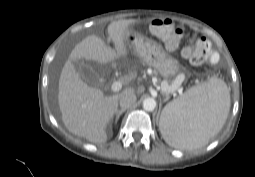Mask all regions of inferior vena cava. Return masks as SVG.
Returning <instances> with one entry per match:
<instances>
[{
	"label": "inferior vena cava",
	"instance_id": "obj_1",
	"mask_svg": "<svg viewBox=\"0 0 255 177\" xmlns=\"http://www.w3.org/2000/svg\"><path fill=\"white\" fill-rule=\"evenodd\" d=\"M136 102V95L134 93H126L120 98V107L122 109H127L134 105Z\"/></svg>",
	"mask_w": 255,
	"mask_h": 177
}]
</instances>
